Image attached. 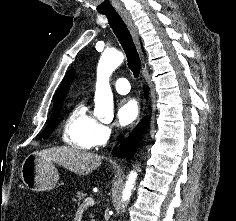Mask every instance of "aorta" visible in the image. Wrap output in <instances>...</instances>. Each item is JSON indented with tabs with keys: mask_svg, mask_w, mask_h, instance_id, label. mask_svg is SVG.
I'll list each match as a JSON object with an SVG mask.
<instances>
[{
	"mask_svg": "<svg viewBox=\"0 0 236 221\" xmlns=\"http://www.w3.org/2000/svg\"><path fill=\"white\" fill-rule=\"evenodd\" d=\"M123 60V54L118 51L104 52L100 58L94 98V114L99 118H113V94L110 88L109 78ZM136 178L137 173L131 171L122 192L123 202H127L130 199Z\"/></svg>",
	"mask_w": 236,
	"mask_h": 221,
	"instance_id": "aorta-1",
	"label": "aorta"
}]
</instances>
